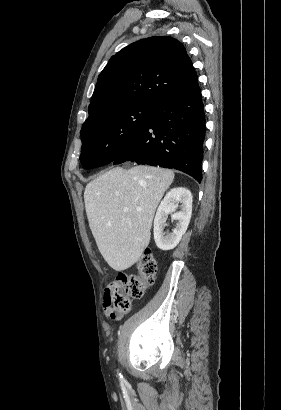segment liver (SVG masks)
I'll return each mask as SVG.
<instances>
[{"label":"liver","instance_id":"6515ba94","mask_svg":"<svg viewBox=\"0 0 281 410\" xmlns=\"http://www.w3.org/2000/svg\"><path fill=\"white\" fill-rule=\"evenodd\" d=\"M173 180L171 170L140 165L113 168L86 185L89 226L111 268L123 271L139 260L150 242L156 208Z\"/></svg>","mask_w":281,"mask_h":410}]
</instances>
